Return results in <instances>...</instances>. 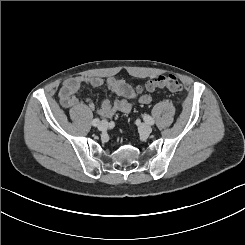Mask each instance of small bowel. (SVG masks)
I'll use <instances>...</instances> for the list:
<instances>
[{"label": "small bowel", "mask_w": 245, "mask_h": 245, "mask_svg": "<svg viewBox=\"0 0 245 245\" xmlns=\"http://www.w3.org/2000/svg\"><path fill=\"white\" fill-rule=\"evenodd\" d=\"M83 85L100 87L105 85L118 99L110 101L104 99L96 108L90 100H79L76 93ZM149 94H138L134 86L124 79L108 77L103 79L99 76H76L66 79L59 90V101L64 108L69 109L71 119L78 125H85L90 119L92 112L96 111L102 117H112L114 114L128 113L135 102L147 104L151 102Z\"/></svg>", "instance_id": "small-bowel-1"}]
</instances>
